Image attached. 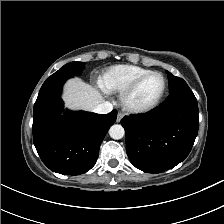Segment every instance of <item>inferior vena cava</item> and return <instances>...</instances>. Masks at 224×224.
I'll return each mask as SVG.
<instances>
[{
  "label": "inferior vena cava",
  "instance_id": "602c4592",
  "mask_svg": "<svg viewBox=\"0 0 224 224\" xmlns=\"http://www.w3.org/2000/svg\"><path fill=\"white\" fill-rule=\"evenodd\" d=\"M112 109H113V105L110 102L106 101V102H102V103L98 104L93 109V111L98 114H107V113L111 112Z\"/></svg>",
  "mask_w": 224,
  "mask_h": 224
}]
</instances>
